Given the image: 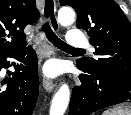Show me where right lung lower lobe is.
<instances>
[{"label":"right lung lower lobe","mask_w":131,"mask_h":115,"mask_svg":"<svg viewBox=\"0 0 131 115\" xmlns=\"http://www.w3.org/2000/svg\"><path fill=\"white\" fill-rule=\"evenodd\" d=\"M8 57L16 58L21 64L15 67V72L8 73V79L0 82V115H32L39 90L35 51L23 47L1 54L0 70L10 66Z\"/></svg>","instance_id":"98d812e1"}]
</instances>
